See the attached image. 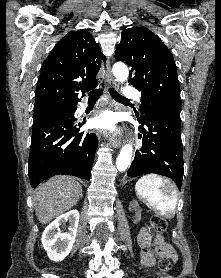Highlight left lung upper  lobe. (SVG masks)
<instances>
[{
	"label": "left lung upper lobe",
	"instance_id": "obj_1",
	"mask_svg": "<svg viewBox=\"0 0 221 278\" xmlns=\"http://www.w3.org/2000/svg\"><path fill=\"white\" fill-rule=\"evenodd\" d=\"M115 59L130 66L129 83L141 91L144 115L153 108L180 112L176 65L170 50L154 33L145 27L124 29Z\"/></svg>",
	"mask_w": 221,
	"mask_h": 278
}]
</instances>
